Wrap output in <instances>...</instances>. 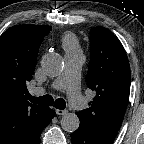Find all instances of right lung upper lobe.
<instances>
[{
    "label": "right lung upper lobe",
    "instance_id": "1",
    "mask_svg": "<svg viewBox=\"0 0 144 144\" xmlns=\"http://www.w3.org/2000/svg\"><path fill=\"white\" fill-rule=\"evenodd\" d=\"M47 25H16L0 37V144H23L48 107L30 104L26 82L34 74Z\"/></svg>",
    "mask_w": 144,
    "mask_h": 144
}]
</instances>
